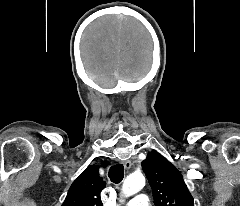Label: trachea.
Wrapping results in <instances>:
<instances>
[{"mask_svg":"<svg viewBox=\"0 0 240 206\" xmlns=\"http://www.w3.org/2000/svg\"><path fill=\"white\" fill-rule=\"evenodd\" d=\"M108 176L110 180L116 184L120 183L124 177V166L122 164H117L109 169Z\"/></svg>","mask_w":240,"mask_h":206,"instance_id":"1","label":"trachea"}]
</instances>
